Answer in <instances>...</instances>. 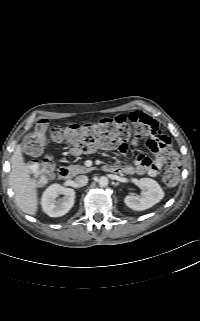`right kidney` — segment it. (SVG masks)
<instances>
[{"mask_svg": "<svg viewBox=\"0 0 200 321\" xmlns=\"http://www.w3.org/2000/svg\"><path fill=\"white\" fill-rule=\"evenodd\" d=\"M59 195H64L56 201ZM75 191L59 184H52L43 193L41 205L43 211L50 217H60L68 213L73 207Z\"/></svg>", "mask_w": 200, "mask_h": 321, "instance_id": "obj_1", "label": "right kidney"}]
</instances>
